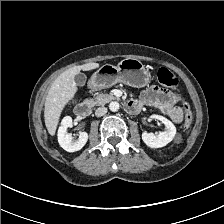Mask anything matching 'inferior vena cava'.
Masks as SVG:
<instances>
[{"instance_id":"1","label":"inferior vena cava","mask_w":224,"mask_h":224,"mask_svg":"<svg viewBox=\"0 0 224 224\" xmlns=\"http://www.w3.org/2000/svg\"><path fill=\"white\" fill-rule=\"evenodd\" d=\"M106 113H107V108L106 107H99L95 111V115L97 117H101V116L105 115Z\"/></svg>"}]
</instances>
